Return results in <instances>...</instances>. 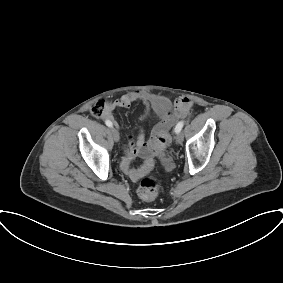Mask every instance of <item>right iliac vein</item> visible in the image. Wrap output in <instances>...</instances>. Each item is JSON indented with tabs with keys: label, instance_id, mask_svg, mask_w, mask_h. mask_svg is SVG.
I'll return each instance as SVG.
<instances>
[{
	"label": "right iliac vein",
	"instance_id": "1",
	"mask_svg": "<svg viewBox=\"0 0 283 283\" xmlns=\"http://www.w3.org/2000/svg\"><path fill=\"white\" fill-rule=\"evenodd\" d=\"M111 134L113 136L114 141L118 142L120 139L119 132L115 128H111Z\"/></svg>",
	"mask_w": 283,
	"mask_h": 283
}]
</instances>
